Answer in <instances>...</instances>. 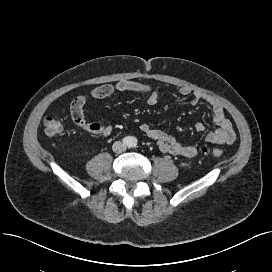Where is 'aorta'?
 Here are the masks:
<instances>
[{
    "label": "aorta",
    "mask_w": 272,
    "mask_h": 272,
    "mask_svg": "<svg viewBox=\"0 0 272 272\" xmlns=\"http://www.w3.org/2000/svg\"><path fill=\"white\" fill-rule=\"evenodd\" d=\"M131 139L133 140L134 145H135V144H136V142H137L136 138H135V137H131Z\"/></svg>",
    "instance_id": "obj_1"
}]
</instances>
